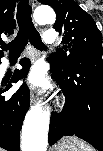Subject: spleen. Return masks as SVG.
Listing matches in <instances>:
<instances>
[{"label": "spleen", "instance_id": "3e777b00", "mask_svg": "<svg viewBox=\"0 0 103 151\" xmlns=\"http://www.w3.org/2000/svg\"><path fill=\"white\" fill-rule=\"evenodd\" d=\"M72 140L80 147L81 151H93L88 145L79 140L78 138L73 137Z\"/></svg>", "mask_w": 103, "mask_h": 151}]
</instances>
